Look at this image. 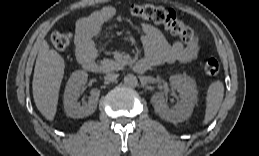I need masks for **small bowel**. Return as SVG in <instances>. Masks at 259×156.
Returning <instances> with one entry per match:
<instances>
[{"instance_id":"small-bowel-1","label":"small bowel","mask_w":259,"mask_h":156,"mask_svg":"<svg viewBox=\"0 0 259 156\" xmlns=\"http://www.w3.org/2000/svg\"><path fill=\"white\" fill-rule=\"evenodd\" d=\"M113 6H104L87 16L80 18L76 26L75 43L79 56H94L97 52L95 37L100 34L102 25L114 17ZM142 44L145 51L144 59L149 67L162 63L190 62L195 60L200 52V44L196 38L189 43L176 41L170 43L166 36L156 27L142 23Z\"/></svg>"}]
</instances>
